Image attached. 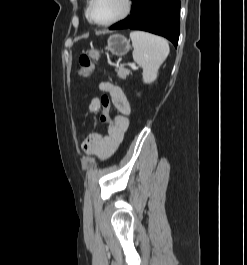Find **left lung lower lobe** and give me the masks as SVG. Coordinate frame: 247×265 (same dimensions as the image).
<instances>
[{"label":"left lung lower lobe","instance_id":"left-lung-lower-lobe-1","mask_svg":"<svg viewBox=\"0 0 247 265\" xmlns=\"http://www.w3.org/2000/svg\"><path fill=\"white\" fill-rule=\"evenodd\" d=\"M132 13L123 21L110 27L117 29L144 30L178 44L180 0H132Z\"/></svg>","mask_w":247,"mask_h":265}]
</instances>
